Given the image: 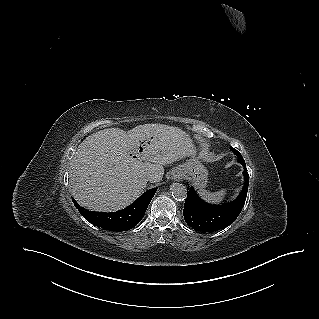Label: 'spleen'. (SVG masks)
<instances>
[{
  "instance_id": "1",
  "label": "spleen",
  "mask_w": 319,
  "mask_h": 319,
  "mask_svg": "<svg viewBox=\"0 0 319 319\" xmlns=\"http://www.w3.org/2000/svg\"><path fill=\"white\" fill-rule=\"evenodd\" d=\"M199 195L202 197V199H204L205 201L209 202V203H220L225 195H226V190H220V191H216V192H209L205 189H201L199 190Z\"/></svg>"
}]
</instances>
